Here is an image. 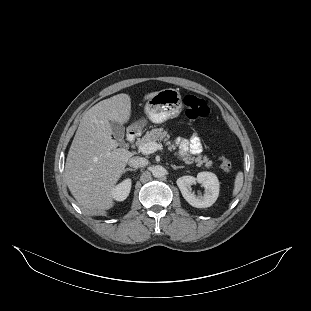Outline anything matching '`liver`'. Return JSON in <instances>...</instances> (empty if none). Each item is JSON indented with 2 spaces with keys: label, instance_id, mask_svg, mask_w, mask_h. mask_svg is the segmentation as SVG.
<instances>
[{
  "label": "liver",
  "instance_id": "1",
  "mask_svg": "<svg viewBox=\"0 0 311 311\" xmlns=\"http://www.w3.org/2000/svg\"><path fill=\"white\" fill-rule=\"evenodd\" d=\"M158 93H145L142 102ZM132 115L131 96L120 93L98 102L83 116L67 155L64 175L69 191L82 208L94 212L115 206L112 191L135 153L117 148L112 124L123 127Z\"/></svg>",
  "mask_w": 311,
  "mask_h": 311
}]
</instances>
